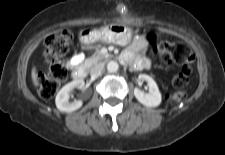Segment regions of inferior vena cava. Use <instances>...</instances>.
Returning a JSON list of instances; mask_svg holds the SVG:
<instances>
[{
  "label": "inferior vena cava",
  "mask_w": 225,
  "mask_h": 155,
  "mask_svg": "<svg viewBox=\"0 0 225 155\" xmlns=\"http://www.w3.org/2000/svg\"><path fill=\"white\" fill-rule=\"evenodd\" d=\"M104 69V64L103 63H98L95 66H93L90 70V75L92 78H97L98 76L101 75L102 71Z\"/></svg>",
  "instance_id": "obj_1"
}]
</instances>
